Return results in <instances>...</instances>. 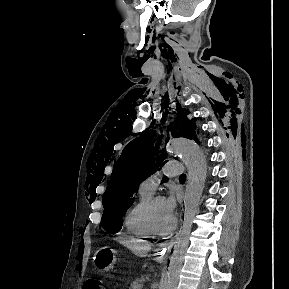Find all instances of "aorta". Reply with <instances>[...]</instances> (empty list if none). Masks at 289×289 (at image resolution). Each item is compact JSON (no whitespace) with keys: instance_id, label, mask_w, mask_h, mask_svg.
Here are the masks:
<instances>
[{"instance_id":"aorta-1","label":"aorta","mask_w":289,"mask_h":289,"mask_svg":"<svg viewBox=\"0 0 289 289\" xmlns=\"http://www.w3.org/2000/svg\"><path fill=\"white\" fill-rule=\"evenodd\" d=\"M167 153L178 156L188 168L187 185L184 197V220L179 236L173 247L167 276L162 289H176L195 215L207 177V162L202 149L197 143L184 138H170Z\"/></svg>"}]
</instances>
